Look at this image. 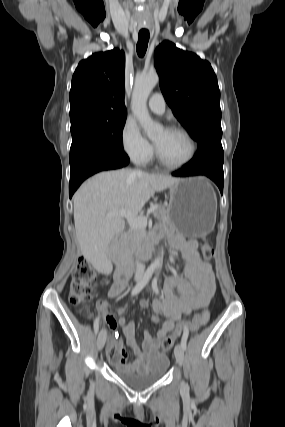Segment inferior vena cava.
I'll use <instances>...</instances> for the list:
<instances>
[{
    "instance_id": "1",
    "label": "inferior vena cava",
    "mask_w": 285,
    "mask_h": 427,
    "mask_svg": "<svg viewBox=\"0 0 285 427\" xmlns=\"http://www.w3.org/2000/svg\"><path fill=\"white\" fill-rule=\"evenodd\" d=\"M135 172H140V171H135ZM144 270H145V266L142 263L137 262L136 263V274L142 275L144 273Z\"/></svg>"
}]
</instances>
